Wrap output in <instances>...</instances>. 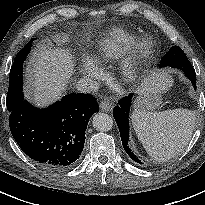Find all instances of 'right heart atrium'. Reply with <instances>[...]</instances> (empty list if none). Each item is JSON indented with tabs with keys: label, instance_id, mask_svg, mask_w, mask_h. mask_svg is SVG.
<instances>
[{
	"label": "right heart atrium",
	"instance_id": "d8ad5b80",
	"mask_svg": "<svg viewBox=\"0 0 205 205\" xmlns=\"http://www.w3.org/2000/svg\"><path fill=\"white\" fill-rule=\"evenodd\" d=\"M82 71L84 75L86 76H92L93 74L92 68L89 66V64L84 59H82Z\"/></svg>",
	"mask_w": 205,
	"mask_h": 205
}]
</instances>
